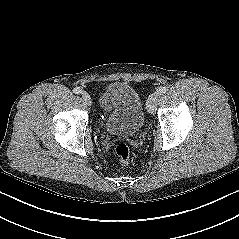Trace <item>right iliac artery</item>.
<instances>
[{
    "label": "right iliac artery",
    "instance_id": "right-iliac-artery-1",
    "mask_svg": "<svg viewBox=\"0 0 239 239\" xmlns=\"http://www.w3.org/2000/svg\"><path fill=\"white\" fill-rule=\"evenodd\" d=\"M73 92H74L75 94H79V93H81V89H80L79 87H75V88L73 89Z\"/></svg>",
    "mask_w": 239,
    "mask_h": 239
}]
</instances>
